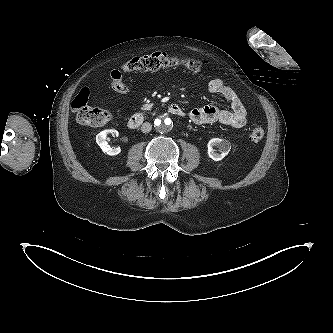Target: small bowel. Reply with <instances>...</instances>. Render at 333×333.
Wrapping results in <instances>:
<instances>
[{
  "label": "small bowel",
  "instance_id": "c3829d8e",
  "mask_svg": "<svg viewBox=\"0 0 333 333\" xmlns=\"http://www.w3.org/2000/svg\"><path fill=\"white\" fill-rule=\"evenodd\" d=\"M211 93L219 94L230 104V110H223L215 105L194 108L187 112V116L196 124L220 123L235 129L246 125L247 112L234 90L221 78H213L208 83Z\"/></svg>",
  "mask_w": 333,
  "mask_h": 333
}]
</instances>
